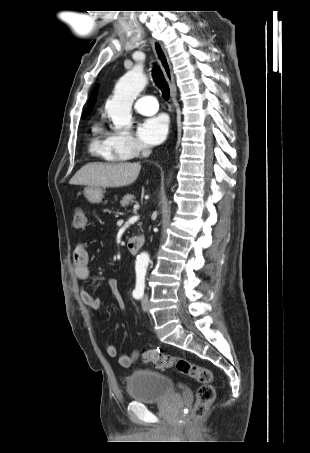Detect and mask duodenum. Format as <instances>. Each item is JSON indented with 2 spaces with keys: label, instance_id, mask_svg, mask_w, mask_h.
I'll use <instances>...</instances> for the list:
<instances>
[{
  "label": "duodenum",
  "instance_id": "obj_1",
  "mask_svg": "<svg viewBox=\"0 0 310 453\" xmlns=\"http://www.w3.org/2000/svg\"><path fill=\"white\" fill-rule=\"evenodd\" d=\"M144 242L145 240L142 236L132 237L128 240L127 248L132 255H135L142 248Z\"/></svg>",
  "mask_w": 310,
  "mask_h": 453
}]
</instances>
